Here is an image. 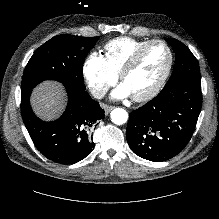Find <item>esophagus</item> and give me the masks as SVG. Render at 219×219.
<instances>
[{
	"label": "esophagus",
	"mask_w": 219,
	"mask_h": 219,
	"mask_svg": "<svg viewBox=\"0 0 219 219\" xmlns=\"http://www.w3.org/2000/svg\"><path fill=\"white\" fill-rule=\"evenodd\" d=\"M104 109H105V115H108L110 113V111H112L114 109V107L105 105Z\"/></svg>",
	"instance_id": "1"
}]
</instances>
